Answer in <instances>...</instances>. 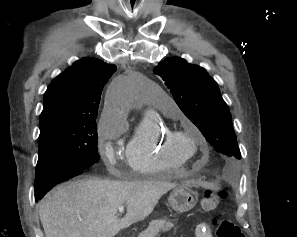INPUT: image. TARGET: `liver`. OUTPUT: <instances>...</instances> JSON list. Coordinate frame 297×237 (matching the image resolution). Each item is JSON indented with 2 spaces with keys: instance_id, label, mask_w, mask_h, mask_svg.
<instances>
[{
  "instance_id": "6515ba94",
  "label": "liver",
  "mask_w": 297,
  "mask_h": 237,
  "mask_svg": "<svg viewBox=\"0 0 297 237\" xmlns=\"http://www.w3.org/2000/svg\"><path fill=\"white\" fill-rule=\"evenodd\" d=\"M170 182L86 180L55 187L39 203L45 237H114L148 217ZM125 205L122 219L116 214Z\"/></svg>"
}]
</instances>
